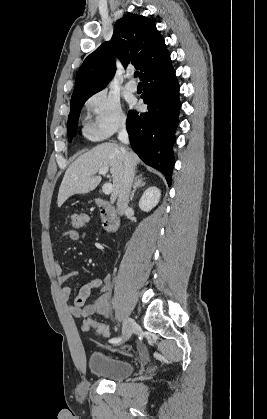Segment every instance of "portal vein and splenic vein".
Returning a JSON list of instances; mask_svg holds the SVG:
<instances>
[{"label":"portal vein and splenic vein","mask_w":267,"mask_h":419,"mask_svg":"<svg viewBox=\"0 0 267 419\" xmlns=\"http://www.w3.org/2000/svg\"><path fill=\"white\" fill-rule=\"evenodd\" d=\"M98 173L100 175H106L108 173V168L104 167L99 169ZM113 190V185L111 183H105L102 187V191L105 195H109Z\"/></svg>","instance_id":"obj_1"}]
</instances>
